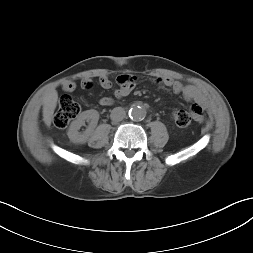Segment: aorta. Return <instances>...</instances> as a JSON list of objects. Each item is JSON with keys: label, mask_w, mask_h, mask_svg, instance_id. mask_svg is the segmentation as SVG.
Masks as SVG:
<instances>
[{"label": "aorta", "mask_w": 253, "mask_h": 253, "mask_svg": "<svg viewBox=\"0 0 253 253\" xmlns=\"http://www.w3.org/2000/svg\"><path fill=\"white\" fill-rule=\"evenodd\" d=\"M146 116V110L141 106H133L129 110V117L134 121H141Z\"/></svg>", "instance_id": "obj_1"}]
</instances>
